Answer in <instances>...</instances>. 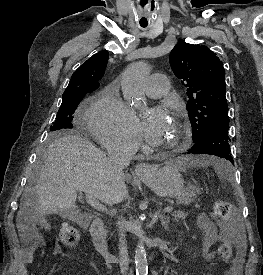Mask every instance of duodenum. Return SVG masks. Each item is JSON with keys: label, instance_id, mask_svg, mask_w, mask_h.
Masks as SVG:
<instances>
[{"label": "duodenum", "instance_id": "1", "mask_svg": "<svg viewBox=\"0 0 263 275\" xmlns=\"http://www.w3.org/2000/svg\"><path fill=\"white\" fill-rule=\"evenodd\" d=\"M90 234L95 250L102 256L107 263H115L118 256L113 254L106 243L104 233V222L101 218H95L90 226Z\"/></svg>", "mask_w": 263, "mask_h": 275}]
</instances>
